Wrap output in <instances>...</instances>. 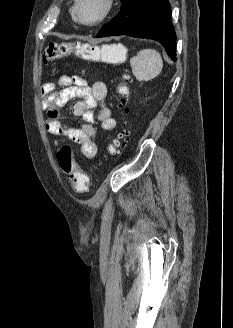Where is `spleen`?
I'll return each mask as SVG.
<instances>
[{
  "label": "spleen",
  "mask_w": 233,
  "mask_h": 328,
  "mask_svg": "<svg viewBox=\"0 0 233 328\" xmlns=\"http://www.w3.org/2000/svg\"><path fill=\"white\" fill-rule=\"evenodd\" d=\"M105 53H120V45L104 46ZM132 73L138 81H150L157 77L162 68L163 61L160 53L154 49H143L130 59Z\"/></svg>",
  "instance_id": "spleen-1"
}]
</instances>
